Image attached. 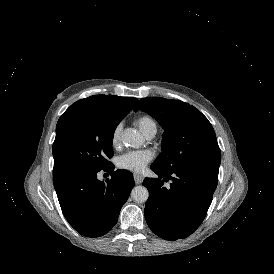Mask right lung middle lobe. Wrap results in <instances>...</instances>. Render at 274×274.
Returning <instances> with one entry per match:
<instances>
[{
	"instance_id": "1",
	"label": "right lung middle lobe",
	"mask_w": 274,
	"mask_h": 274,
	"mask_svg": "<svg viewBox=\"0 0 274 274\" xmlns=\"http://www.w3.org/2000/svg\"><path fill=\"white\" fill-rule=\"evenodd\" d=\"M130 111L119 107L82 109L60 119L53 144V174L112 166L113 135Z\"/></svg>"
}]
</instances>
